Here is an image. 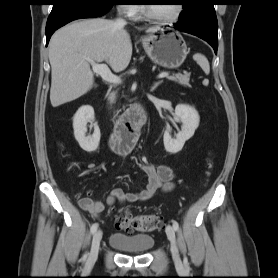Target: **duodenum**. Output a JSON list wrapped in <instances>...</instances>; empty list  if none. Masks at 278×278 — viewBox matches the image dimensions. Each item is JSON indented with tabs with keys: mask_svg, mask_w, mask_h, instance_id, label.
<instances>
[{
	"mask_svg": "<svg viewBox=\"0 0 278 278\" xmlns=\"http://www.w3.org/2000/svg\"><path fill=\"white\" fill-rule=\"evenodd\" d=\"M146 121L147 115L141 105L126 111L110 137V146L113 151L120 155L127 153L128 147L137 141L141 127Z\"/></svg>",
	"mask_w": 278,
	"mask_h": 278,
	"instance_id": "410a0bca",
	"label": "duodenum"
}]
</instances>
